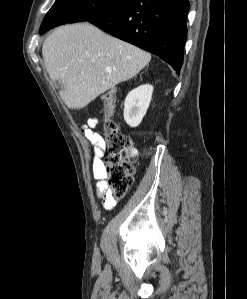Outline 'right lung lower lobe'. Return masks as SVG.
<instances>
[{"label":"right lung lower lobe","mask_w":247,"mask_h":299,"mask_svg":"<svg viewBox=\"0 0 247 299\" xmlns=\"http://www.w3.org/2000/svg\"><path fill=\"white\" fill-rule=\"evenodd\" d=\"M188 0H129L89 21L109 34L143 48L179 73L187 37Z\"/></svg>","instance_id":"98d812e1"}]
</instances>
